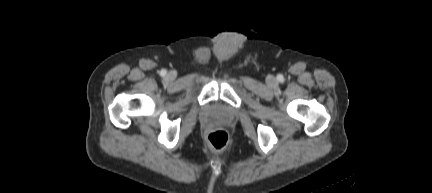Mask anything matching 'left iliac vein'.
Wrapping results in <instances>:
<instances>
[{
  "mask_svg": "<svg viewBox=\"0 0 432 193\" xmlns=\"http://www.w3.org/2000/svg\"><path fill=\"white\" fill-rule=\"evenodd\" d=\"M269 82H270L271 84H273V83L275 82V79H274V78H270V79H269Z\"/></svg>",
  "mask_w": 432,
  "mask_h": 193,
  "instance_id": "left-iliac-vein-1",
  "label": "left iliac vein"
}]
</instances>
